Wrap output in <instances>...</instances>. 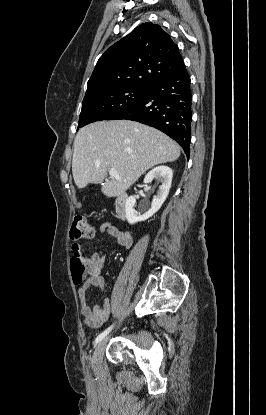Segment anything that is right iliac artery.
<instances>
[{"label": "right iliac artery", "instance_id": "1", "mask_svg": "<svg viewBox=\"0 0 266 415\" xmlns=\"http://www.w3.org/2000/svg\"><path fill=\"white\" fill-rule=\"evenodd\" d=\"M113 328V325H111L110 327H108L106 330H104L101 334H99L97 336V338L95 339V344L99 343Z\"/></svg>", "mask_w": 266, "mask_h": 415}]
</instances>
